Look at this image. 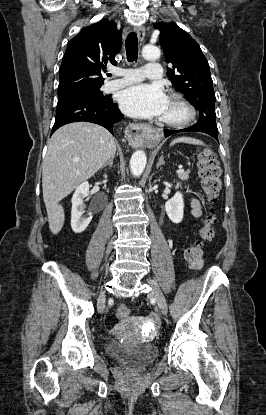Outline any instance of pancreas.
<instances>
[{"label": "pancreas", "instance_id": "cf45deb5", "mask_svg": "<svg viewBox=\"0 0 266 415\" xmlns=\"http://www.w3.org/2000/svg\"><path fill=\"white\" fill-rule=\"evenodd\" d=\"M189 174H190V171H186V172H183V173H179V174H178V178H179L181 181H186V180H188V179H189Z\"/></svg>", "mask_w": 266, "mask_h": 415}]
</instances>
